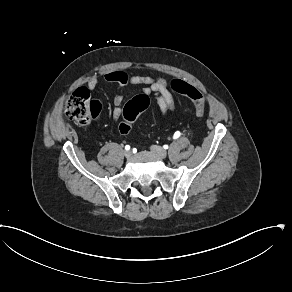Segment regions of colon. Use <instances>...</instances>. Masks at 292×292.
<instances>
[{
	"instance_id": "obj_1",
	"label": "colon",
	"mask_w": 292,
	"mask_h": 292,
	"mask_svg": "<svg viewBox=\"0 0 292 292\" xmlns=\"http://www.w3.org/2000/svg\"><path fill=\"white\" fill-rule=\"evenodd\" d=\"M172 89L182 95L188 96L195 102V115L203 118L205 114L204 98L192 85L176 79L171 84ZM150 106V98L145 94L134 96L122 108V119L119 130L124 135H129L134 130L140 112ZM101 111V103L91 98L86 88H77L69 96L65 105V115L80 125H88L91 119Z\"/></svg>"
}]
</instances>
